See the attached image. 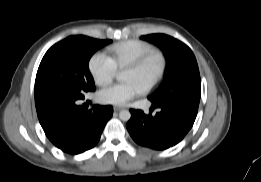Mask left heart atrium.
Masks as SVG:
<instances>
[{
  "label": "left heart atrium",
  "instance_id": "39dd6f15",
  "mask_svg": "<svg viewBox=\"0 0 261 182\" xmlns=\"http://www.w3.org/2000/svg\"><path fill=\"white\" fill-rule=\"evenodd\" d=\"M142 92L143 88L138 83L128 81L102 89L97 98L103 104L123 106Z\"/></svg>",
  "mask_w": 261,
  "mask_h": 182
}]
</instances>
